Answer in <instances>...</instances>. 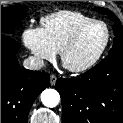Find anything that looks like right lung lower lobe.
<instances>
[{
  "label": "right lung lower lobe",
  "mask_w": 123,
  "mask_h": 123,
  "mask_svg": "<svg viewBox=\"0 0 123 123\" xmlns=\"http://www.w3.org/2000/svg\"><path fill=\"white\" fill-rule=\"evenodd\" d=\"M19 47L1 34V123H27L33 102L50 85L48 73L19 66L15 56Z\"/></svg>",
  "instance_id": "1"
}]
</instances>
